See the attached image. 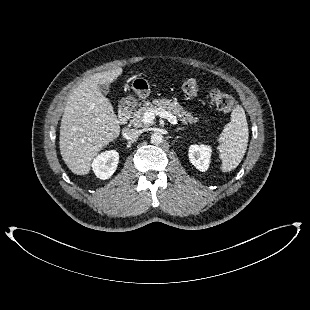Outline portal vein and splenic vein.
<instances>
[{
  "label": "portal vein and splenic vein",
  "instance_id": "portal-vein-and-splenic-vein-1",
  "mask_svg": "<svg viewBox=\"0 0 310 310\" xmlns=\"http://www.w3.org/2000/svg\"><path fill=\"white\" fill-rule=\"evenodd\" d=\"M155 115L167 119L171 124H177V118L170 112L165 111L162 108H153L147 110L143 114V121L147 124L152 123L155 119Z\"/></svg>",
  "mask_w": 310,
  "mask_h": 310
}]
</instances>
